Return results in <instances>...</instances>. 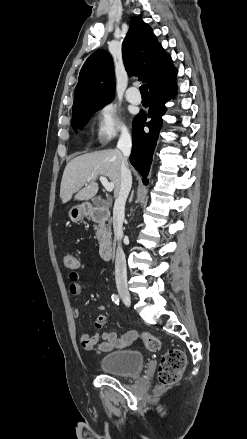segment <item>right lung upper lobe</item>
<instances>
[{"instance_id":"obj_1","label":"right lung upper lobe","mask_w":247,"mask_h":439,"mask_svg":"<svg viewBox=\"0 0 247 439\" xmlns=\"http://www.w3.org/2000/svg\"><path fill=\"white\" fill-rule=\"evenodd\" d=\"M123 61L127 73L147 83L150 93L175 82L177 70L150 26L139 17L131 20L123 42ZM115 77L111 56L95 51L81 68L75 88L73 116L110 103L114 98Z\"/></svg>"}]
</instances>
